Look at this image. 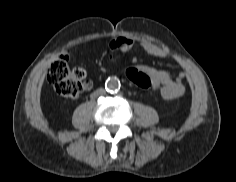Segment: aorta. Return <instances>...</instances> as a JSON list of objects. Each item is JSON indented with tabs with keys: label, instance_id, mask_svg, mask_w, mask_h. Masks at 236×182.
<instances>
[{
	"label": "aorta",
	"instance_id": "aorta-1",
	"mask_svg": "<svg viewBox=\"0 0 236 182\" xmlns=\"http://www.w3.org/2000/svg\"><path fill=\"white\" fill-rule=\"evenodd\" d=\"M105 88L110 93L117 92L120 89V81L115 77L109 78L105 83Z\"/></svg>",
	"mask_w": 236,
	"mask_h": 182
}]
</instances>
